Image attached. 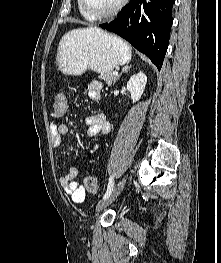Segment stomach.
Returning <instances> with one entry per match:
<instances>
[{
  "mask_svg": "<svg viewBox=\"0 0 221 263\" xmlns=\"http://www.w3.org/2000/svg\"><path fill=\"white\" fill-rule=\"evenodd\" d=\"M131 59L130 47L119 37L102 30H73L61 39L57 50L58 69L79 76L87 70L105 74Z\"/></svg>",
  "mask_w": 221,
  "mask_h": 263,
  "instance_id": "obj_1",
  "label": "stomach"
}]
</instances>
